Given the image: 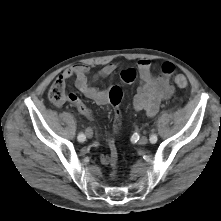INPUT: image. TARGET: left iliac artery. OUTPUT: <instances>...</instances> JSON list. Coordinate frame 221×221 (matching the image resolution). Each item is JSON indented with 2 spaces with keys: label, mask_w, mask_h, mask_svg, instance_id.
<instances>
[{
  "label": "left iliac artery",
  "mask_w": 221,
  "mask_h": 221,
  "mask_svg": "<svg viewBox=\"0 0 221 221\" xmlns=\"http://www.w3.org/2000/svg\"><path fill=\"white\" fill-rule=\"evenodd\" d=\"M150 142L151 143H156L157 142V135L156 134H152L150 136Z\"/></svg>",
  "instance_id": "44dca946"
}]
</instances>
